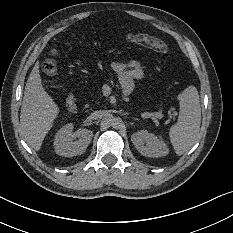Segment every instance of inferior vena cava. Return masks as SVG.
I'll return each mask as SVG.
<instances>
[{"instance_id": "obj_1", "label": "inferior vena cava", "mask_w": 233, "mask_h": 233, "mask_svg": "<svg viewBox=\"0 0 233 233\" xmlns=\"http://www.w3.org/2000/svg\"><path fill=\"white\" fill-rule=\"evenodd\" d=\"M105 112L103 110H96L91 113V117L93 119H98L99 117L103 116Z\"/></svg>"}]
</instances>
